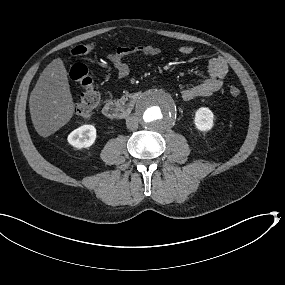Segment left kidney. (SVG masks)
<instances>
[{"label":"left kidney","instance_id":"obj_1","mask_svg":"<svg viewBox=\"0 0 285 285\" xmlns=\"http://www.w3.org/2000/svg\"><path fill=\"white\" fill-rule=\"evenodd\" d=\"M195 125L200 131H208L213 127V113L209 108L202 107L196 111Z\"/></svg>","mask_w":285,"mask_h":285}]
</instances>
